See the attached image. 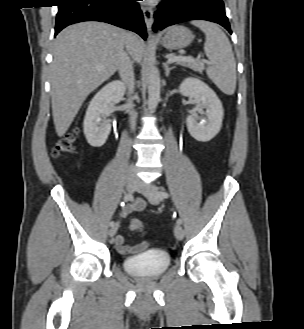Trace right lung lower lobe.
<instances>
[{
  "label": "right lung lower lobe",
  "mask_w": 304,
  "mask_h": 329,
  "mask_svg": "<svg viewBox=\"0 0 304 329\" xmlns=\"http://www.w3.org/2000/svg\"><path fill=\"white\" fill-rule=\"evenodd\" d=\"M137 0H61L58 5L55 35L70 24L83 21L110 23L146 39V26Z\"/></svg>",
  "instance_id": "1"
}]
</instances>
